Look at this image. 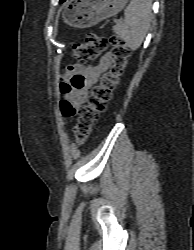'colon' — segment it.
Here are the masks:
<instances>
[{
  "mask_svg": "<svg viewBox=\"0 0 194 250\" xmlns=\"http://www.w3.org/2000/svg\"><path fill=\"white\" fill-rule=\"evenodd\" d=\"M109 45L112 46V64L101 76L100 81L92 87L87 103L78 110L79 116L74 126L77 145L84 143L99 115L106 111L107 104L127 64L129 47L126 41L119 37L107 38L94 32L88 33L84 42L72 45V55L81 63L96 59ZM74 111L73 108L66 109L68 115L73 114Z\"/></svg>",
  "mask_w": 194,
  "mask_h": 250,
  "instance_id": "obj_1",
  "label": "colon"
}]
</instances>
